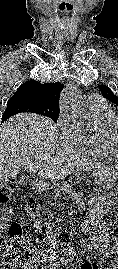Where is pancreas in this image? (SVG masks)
<instances>
[{"label": "pancreas", "mask_w": 118, "mask_h": 269, "mask_svg": "<svg viewBox=\"0 0 118 269\" xmlns=\"http://www.w3.org/2000/svg\"><path fill=\"white\" fill-rule=\"evenodd\" d=\"M35 189L39 190V191H47L49 190L50 186H51V182L50 180H45L44 178L40 179L38 182H36L34 184ZM86 192H93L94 188L93 187H86L85 188Z\"/></svg>", "instance_id": "obj_1"}]
</instances>
